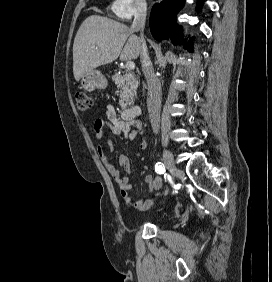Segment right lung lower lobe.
<instances>
[{"label": "right lung lower lobe", "instance_id": "1", "mask_svg": "<svg viewBox=\"0 0 272 282\" xmlns=\"http://www.w3.org/2000/svg\"><path fill=\"white\" fill-rule=\"evenodd\" d=\"M184 3L185 0H163L152 7L150 30L157 41L170 38L173 42L178 43L181 40V27L176 24L175 19ZM200 6L201 2L198 7ZM187 49L190 52L193 51L192 47Z\"/></svg>", "mask_w": 272, "mask_h": 282}]
</instances>
